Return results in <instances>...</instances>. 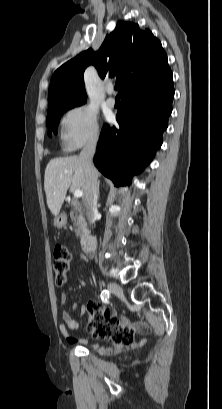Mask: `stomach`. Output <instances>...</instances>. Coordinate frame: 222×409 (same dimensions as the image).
Segmentation results:
<instances>
[{
    "label": "stomach",
    "mask_w": 222,
    "mask_h": 409,
    "mask_svg": "<svg viewBox=\"0 0 222 409\" xmlns=\"http://www.w3.org/2000/svg\"><path fill=\"white\" fill-rule=\"evenodd\" d=\"M67 224V215L65 212H62L61 214H58L55 219H54V226L56 228H63Z\"/></svg>",
    "instance_id": "1"
}]
</instances>
